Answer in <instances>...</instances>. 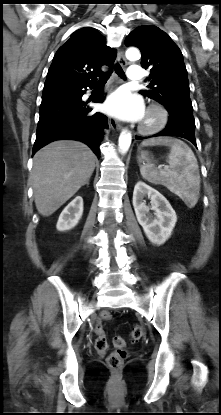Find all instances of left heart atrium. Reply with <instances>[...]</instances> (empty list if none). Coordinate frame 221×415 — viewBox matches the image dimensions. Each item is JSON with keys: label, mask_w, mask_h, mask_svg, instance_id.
I'll use <instances>...</instances> for the list:
<instances>
[{"label": "left heart atrium", "mask_w": 221, "mask_h": 415, "mask_svg": "<svg viewBox=\"0 0 221 415\" xmlns=\"http://www.w3.org/2000/svg\"><path fill=\"white\" fill-rule=\"evenodd\" d=\"M104 110L115 118L127 121H139L145 116L141 98L125 88L116 90L107 98Z\"/></svg>", "instance_id": "39dd6f15"}]
</instances>
